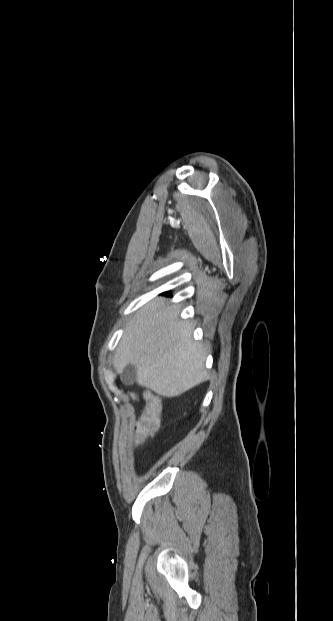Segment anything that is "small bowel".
Here are the masks:
<instances>
[{"label": "small bowel", "instance_id": "obj_1", "mask_svg": "<svg viewBox=\"0 0 333 621\" xmlns=\"http://www.w3.org/2000/svg\"><path fill=\"white\" fill-rule=\"evenodd\" d=\"M150 394H151V393H147V394H146V399H148V397H149V395H150Z\"/></svg>", "mask_w": 333, "mask_h": 621}]
</instances>
